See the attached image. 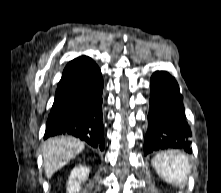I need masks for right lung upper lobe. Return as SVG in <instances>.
<instances>
[{
  "mask_svg": "<svg viewBox=\"0 0 221 193\" xmlns=\"http://www.w3.org/2000/svg\"><path fill=\"white\" fill-rule=\"evenodd\" d=\"M92 61L93 60L91 58L82 56L69 62L63 71L62 78L57 87V91L61 89L62 86H64L78 71H80L84 66Z\"/></svg>",
  "mask_w": 221,
  "mask_h": 193,
  "instance_id": "1",
  "label": "right lung upper lobe"
}]
</instances>
